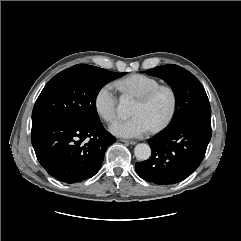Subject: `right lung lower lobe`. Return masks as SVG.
Returning a JSON list of instances; mask_svg holds the SVG:
<instances>
[{
    "label": "right lung lower lobe",
    "instance_id": "right-lung-lower-lobe-1",
    "mask_svg": "<svg viewBox=\"0 0 241 241\" xmlns=\"http://www.w3.org/2000/svg\"><path fill=\"white\" fill-rule=\"evenodd\" d=\"M31 141L49 175L61 182L76 183L99 171L106 149L116 139L101 122L89 125L53 118L32 122Z\"/></svg>",
    "mask_w": 241,
    "mask_h": 241
}]
</instances>
